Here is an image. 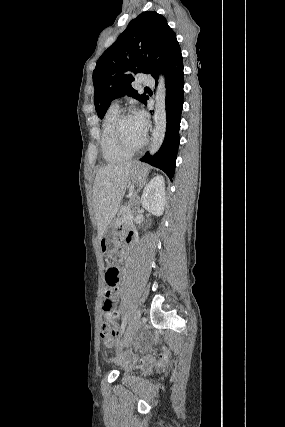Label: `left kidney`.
<instances>
[{
  "label": "left kidney",
  "mask_w": 285,
  "mask_h": 427,
  "mask_svg": "<svg viewBox=\"0 0 285 427\" xmlns=\"http://www.w3.org/2000/svg\"><path fill=\"white\" fill-rule=\"evenodd\" d=\"M141 204L148 212L160 216L165 206V181L162 175L155 176L144 188Z\"/></svg>",
  "instance_id": "obj_1"
}]
</instances>
